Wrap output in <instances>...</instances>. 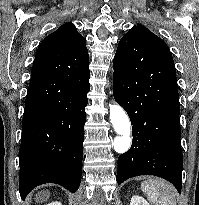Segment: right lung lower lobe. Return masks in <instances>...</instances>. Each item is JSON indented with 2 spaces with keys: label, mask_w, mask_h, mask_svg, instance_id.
I'll return each instance as SVG.
<instances>
[{
  "label": "right lung lower lobe",
  "mask_w": 199,
  "mask_h": 205,
  "mask_svg": "<svg viewBox=\"0 0 199 205\" xmlns=\"http://www.w3.org/2000/svg\"><path fill=\"white\" fill-rule=\"evenodd\" d=\"M90 74L69 78L60 94L25 108L19 150V192L24 200L38 185L56 183L75 192L81 181L85 107ZM45 82H30L26 101L49 91Z\"/></svg>",
  "instance_id": "obj_1"
}]
</instances>
